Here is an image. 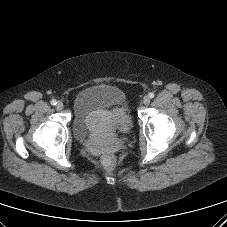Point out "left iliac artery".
<instances>
[{
    "instance_id": "44dca946",
    "label": "left iliac artery",
    "mask_w": 227,
    "mask_h": 227,
    "mask_svg": "<svg viewBox=\"0 0 227 227\" xmlns=\"http://www.w3.org/2000/svg\"><path fill=\"white\" fill-rule=\"evenodd\" d=\"M154 93L153 92H151V93H149V97L152 99V98H154Z\"/></svg>"
}]
</instances>
